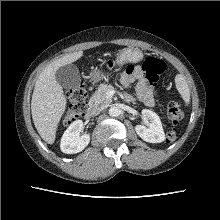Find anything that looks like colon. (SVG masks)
<instances>
[{"instance_id": "obj_1", "label": "colon", "mask_w": 220, "mask_h": 220, "mask_svg": "<svg viewBox=\"0 0 220 220\" xmlns=\"http://www.w3.org/2000/svg\"><path fill=\"white\" fill-rule=\"evenodd\" d=\"M164 68V63L157 58L149 57L145 60L143 70L150 85L155 84L159 80ZM67 95L70 102V108L65 116L64 122L70 123L84 116L87 111L88 99L87 93L82 85L70 89ZM167 116L170 122L178 123L183 119L184 114L177 104L172 103L167 108ZM175 139V131L169 130L166 134V141L172 143Z\"/></svg>"}]
</instances>
